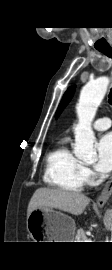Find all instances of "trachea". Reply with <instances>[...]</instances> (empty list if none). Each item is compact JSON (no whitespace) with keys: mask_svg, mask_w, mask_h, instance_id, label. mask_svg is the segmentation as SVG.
I'll return each instance as SVG.
<instances>
[{"mask_svg":"<svg viewBox=\"0 0 112 270\" xmlns=\"http://www.w3.org/2000/svg\"><path fill=\"white\" fill-rule=\"evenodd\" d=\"M100 52H102L104 55L108 56L109 58H112V48H103V49H98ZM109 98V103L112 105V88L110 90V93L108 95Z\"/></svg>","mask_w":112,"mask_h":270,"instance_id":"obj_1","label":"trachea"}]
</instances>
